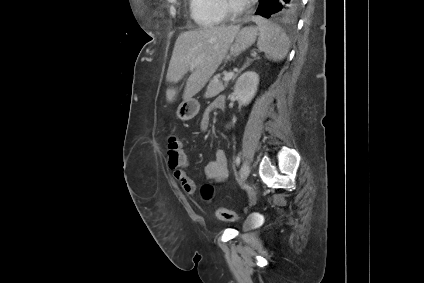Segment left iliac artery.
Returning a JSON list of instances; mask_svg holds the SVG:
<instances>
[{
  "mask_svg": "<svg viewBox=\"0 0 424 283\" xmlns=\"http://www.w3.org/2000/svg\"><path fill=\"white\" fill-rule=\"evenodd\" d=\"M240 161H241L240 155L238 154V156L236 157V165H239Z\"/></svg>",
  "mask_w": 424,
  "mask_h": 283,
  "instance_id": "obj_1",
  "label": "left iliac artery"
}]
</instances>
